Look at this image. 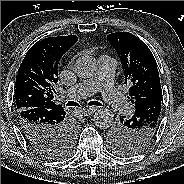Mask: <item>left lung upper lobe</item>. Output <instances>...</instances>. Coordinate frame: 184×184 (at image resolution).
I'll return each instance as SVG.
<instances>
[{"label":"left lung upper lobe","instance_id":"obj_1","mask_svg":"<svg viewBox=\"0 0 184 184\" xmlns=\"http://www.w3.org/2000/svg\"><path fill=\"white\" fill-rule=\"evenodd\" d=\"M107 38L121 60L125 84L131 86L128 99L135 109L150 99H162L157 64L147 45L129 32L112 33ZM147 117L140 121L134 115L122 116L110 128L108 139L115 153L129 156L149 145L158 130L160 111Z\"/></svg>","mask_w":184,"mask_h":184}]
</instances>
